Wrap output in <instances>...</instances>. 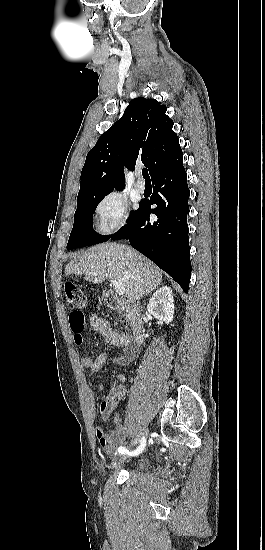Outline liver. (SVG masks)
I'll list each match as a JSON object with an SVG mask.
<instances>
[{
	"instance_id": "6515ba94",
	"label": "liver",
	"mask_w": 265,
	"mask_h": 550,
	"mask_svg": "<svg viewBox=\"0 0 265 550\" xmlns=\"http://www.w3.org/2000/svg\"><path fill=\"white\" fill-rule=\"evenodd\" d=\"M65 274L84 275L93 283L120 281L130 301L149 294L162 281V271L152 261L127 245L109 242L78 254L67 264Z\"/></svg>"
}]
</instances>
